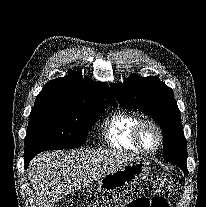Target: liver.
I'll list each match as a JSON object with an SVG mask.
<instances>
[{"label": "liver", "instance_id": "obj_1", "mask_svg": "<svg viewBox=\"0 0 206 207\" xmlns=\"http://www.w3.org/2000/svg\"><path fill=\"white\" fill-rule=\"evenodd\" d=\"M135 159L131 154L107 150L42 152L33 158L27 170L36 194V207H54L65 195Z\"/></svg>", "mask_w": 206, "mask_h": 207}]
</instances>
